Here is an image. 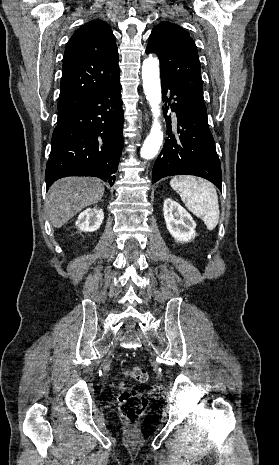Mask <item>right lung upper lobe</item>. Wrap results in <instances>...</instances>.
Listing matches in <instances>:
<instances>
[{"mask_svg":"<svg viewBox=\"0 0 279 465\" xmlns=\"http://www.w3.org/2000/svg\"><path fill=\"white\" fill-rule=\"evenodd\" d=\"M115 36L93 20L70 38L63 58L58 120L75 111L120 77Z\"/></svg>","mask_w":279,"mask_h":465,"instance_id":"1","label":"right lung upper lobe"}]
</instances>
